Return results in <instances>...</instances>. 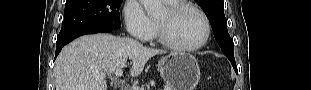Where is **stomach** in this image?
I'll use <instances>...</instances> for the list:
<instances>
[{"mask_svg":"<svg viewBox=\"0 0 311 90\" xmlns=\"http://www.w3.org/2000/svg\"><path fill=\"white\" fill-rule=\"evenodd\" d=\"M158 69L172 90H194L200 81L198 62L188 53H170L158 61Z\"/></svg>","mask_w":311,"mask_h":90,"instance_id":"stomach-1","label":"stomach"}]
</instances>
